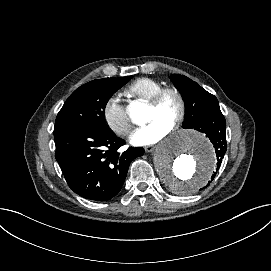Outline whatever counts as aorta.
Wrapping results in <instances>:
<instances>
[{
    "mask_svg": "<svg viewBox=\"0 0 271 271\" xmlns=\"http://www.w3.org/2000/svg\"><path fill=\"white\" fill-rule=\"evenodd\" d=\"M131 119L146 122L143 105L130 110ZM154 166L172 192L185 195L203 187L216 166V156L206 137L194 131H179L159 144L154 152Z\"/></svg>",
    "mask_w": 271,
    "mask_h": 271,
    "instance_id": "obj_1",
    "label": "aorta"
}]
</instances>
